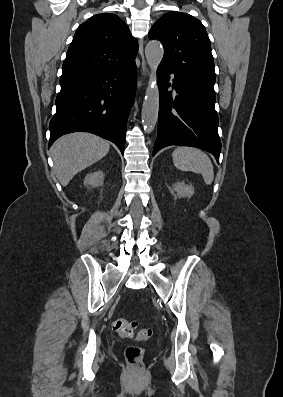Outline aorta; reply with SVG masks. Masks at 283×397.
<instances>
[{
	"instance_id": "obj_1",
	"label": "aorta",
	"mask_w": 283,
	"mask_h": 397,
	"mask_svg": "<svg viewBox=\"0 0 283 397\" xmlns=\"http://www.w3.org/2000/svg\"><path fill=\"white\" fill-rule=\"evenodd\" d=\"M163 47L159 41H149L145 47V56L151 74L142 106V124L145 132L151 133L157 123L159 111V90L157 86V68L163 58Z\"/></svg>"
}]
</instances>
